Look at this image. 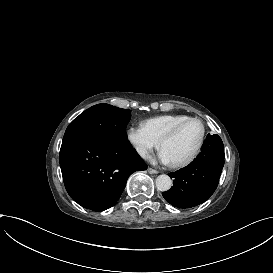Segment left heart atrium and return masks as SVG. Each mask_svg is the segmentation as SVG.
Segmentation results:
<instances>
[{
  "label": "left heart atrium",
  "instance_id": "obj_1",
  "mask_svg": "<svg viewBox=\"0 0 273 273\" xmlns=\"http://www.w3.org/2000/svg\"><path fill=\"white\" fill-rule=\"evenodd\" d=\"M158 159H159V161H161L164 164L171 163L164 150H161V152L159 153Z\"/></svg>",
  "mask_w": 273,
  "mask_h": 273
}]
</instances>
